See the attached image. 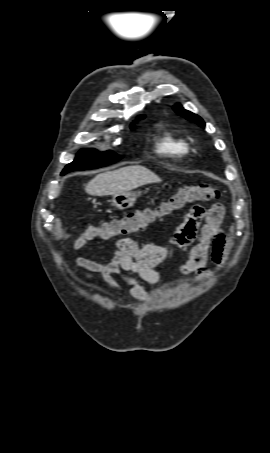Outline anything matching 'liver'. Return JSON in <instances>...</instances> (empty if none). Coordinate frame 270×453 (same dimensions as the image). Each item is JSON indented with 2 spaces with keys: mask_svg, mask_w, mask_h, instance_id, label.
Wrapping results in <instances>:
<instances>
[{
  "mask_svg": "<svg viewBox=\"0 0 270 453\" xmlns=\"http://www.w3.org/2000/svg\"><path fill=\"white\" fill-rule=\"evenodd\" d=\"M160 182L161 179L151 170L134 165L96 175L88 182L85 191L92 196H114L146 184Z\"/></svg>",
  "mask_w": 270,
  "mask_h": 453,
  "instance_id": "obj_1",
  "label": "liver"
}]
</instances>
